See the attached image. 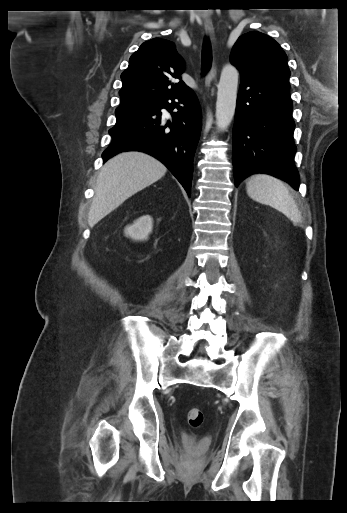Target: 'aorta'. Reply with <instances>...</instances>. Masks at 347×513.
I'll list each match as a JSON object with an SVG mask.
<instances>
[{
    "mask_svg": "<svg viewBox=\"0 0 347 513\" xmlns=\"http://www.w3.org/2000/svg\"><path fill=\"white\" fill-rule=\"evenodd\" d=\"M238 78L239 73L234 66L227 64L223 67L216 102V123L221 130L228 128L235 114Z\"/></svg>",
    "mask_w": 347,
    "mask_h": 513,
    "instance_id": "762f6f07",
    "label": "aorta"
}]
</instances>
